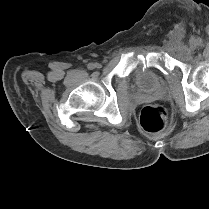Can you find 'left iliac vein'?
Instances as JSON below:
<instances>
[{
    "label": "left iliac vein",
    "instance_id": "4c4485c4",
    "mask_svg": "<svg viewBox=\"0 0 209 209\" xmlns=\"http://www.w3.org/2000/svg\"><path fill=\"white\" fill-rule=\"evenodd\" d=\"M195 47H196L195 41H191L190 42V48L195 49Z\"/></svg>",
    "mask_w": 209,
    "mask_h": 209
}]
</instances>
